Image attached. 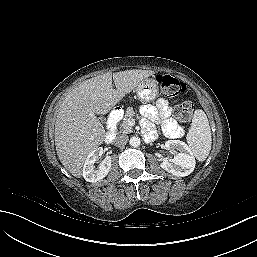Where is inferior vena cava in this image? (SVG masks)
<instances>
[{"label": "inferior vena cava", "mask_w": 257, "mask_h": 257, "mask_svg": "<svg viewBox=\"0 0 257 257\" xmlns=\"http://www.w3.org/2000/svg\"><path fill=\"white\" fill-rule=\"evenodd\" d=\"M128 136L125 134L118 135L114 140V145L118 147L125 146L128 142Z\"/></svg>", "instance_id": "obj_1"}]
</instances>
